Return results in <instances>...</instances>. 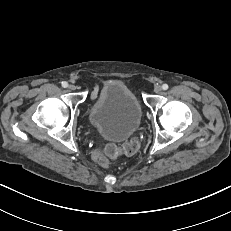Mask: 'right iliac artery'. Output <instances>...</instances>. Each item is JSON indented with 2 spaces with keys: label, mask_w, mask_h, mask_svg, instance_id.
Returning <instances> with one entry per match:
<instances>
[{
  "label": "right iliac artery",
  "mask_w": 231,
  "mask_h": 231,
  "mask_svg": "<svg viewBox=\"0 0 231 231\" xmlns=\"http://www.w3.org/2000/svg\"><path fill=\"white\" fill-rule=\"evenodd\" d=\"M62 87H63V88L68 87V83H67L66 81L62 82Z\"/></svg>",
  "instance_id": "1"
}]
</instances>
